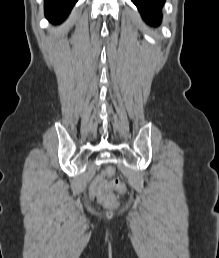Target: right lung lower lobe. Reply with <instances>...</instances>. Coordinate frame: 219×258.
<instances>
[{"label":"right lung lower lobe","mask_w":219,"mask_h":258,"mask_svg":"<svg viewBox=\"0 0 219 258\" xmlns=\"http://www.w3.org/2000/svg\"><path fill=\"white\" fill-rule=\"evenodd\" d=\"M77 0H45V16L52 23L62 22Z\"/></svg>","instance_id":"98d812e1"}]
</instances>
